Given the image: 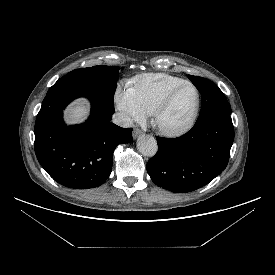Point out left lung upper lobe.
<instances>
[{"instance_id": "1", "label": "left lung upper lobe", "mask_w": 275, "mask_h": 275, "mask_svg": "<svg viewBox=\"0 0 275 275\" xmlns=\"http://www.w3.org/2000/svg\"><path fill=\"white\" fill-rule=\"evenodd\" d=\"M188 78L202 95V108L196 122L231 115V106L216 84L198 76L188 75Z\"/></svg>"}]
</instances>
